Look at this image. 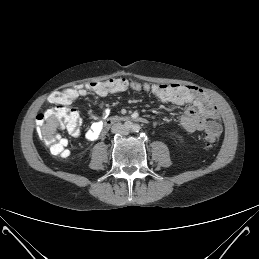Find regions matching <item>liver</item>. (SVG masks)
I'll list each match as a JSON object with an SVG mask.
<instances>
[{
  "label": "liver",
  "instance_id": "6515ba94",
  "mask_svg": "<svg viewBox=\"0 0 259 259\" xmlns=\"http://www.w3.org/2000/svg\"><path fill=\"white\" fill-rule=\"evenodd\" d=\"M59 127V123L56 119V117H51L47 120V123L44 127L43 135L48 140H51L54 138L57 128Z\"/></svg>",
  "mask_w": 259,
  "mask_h": 259
}]
</instances>
